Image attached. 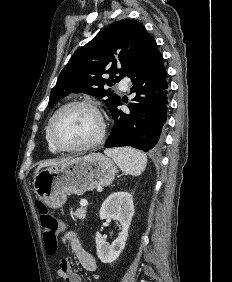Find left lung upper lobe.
Listing matches in <instances>:
<instances>
[{
	"label": "left lung upper lobe",
	"mask_w": 232,
	"mask_h": 282,
	"mask_svg": "<svg viewBox=\"0 0 232 282\" xmlns=\"http://www.w3.org/2000/svg\"><path fill=\"white\" fill-rule=\"evenodd\" d=\"M152 40L138 21L121 20L105 28L72 55L51 90L49 105L71 93H86L107 97L105 104L111 110L120 97L104 86H112L127 76ZM105 73L110 75V80L101 77Z\"/></svg>",
	"instance_id": "1"
}]
</instances>
